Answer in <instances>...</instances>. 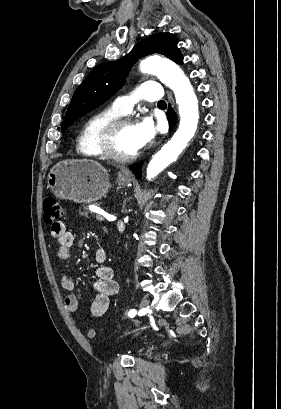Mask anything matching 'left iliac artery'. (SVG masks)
Returning a JSON list of instances; mask_svg holds the SVG:
<instances>
[{"mask_svg": "<svg viewBox=\"0 0 281 409\" xmlns=\"http://www.w3.org/2000/svg\"><path fill=\"white\" fill-rule=\"evenodd\" d=\"M128 315L129 317H134L136 315V310L135 309L130 310Z\"/></svg>", "mask_w": 281, "mask_h": 409, "instance_id": "left-iliac-artery-1", "label": "left iliac artery"}]
</instances>
